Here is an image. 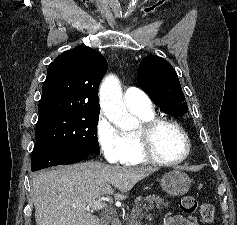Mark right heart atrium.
Returning a JSON list of instances; mask_svg holds the SVG:
<instances>
[{"instance_id":"1","label":"right heart atrium","mask_w":237,"mask_h":225,"mask_svg":"<svg viewBox=\"0 0 237 225\" xmlns=\"http://www.w3.org/2000/svg\"><path fill=\"white\" fill-rule=\"evenodd\" d=\"M95 133L100 149L108 162L119 164L126 160L130 146L125 135L104 114L98 117Z\"/></svg>"}]
</instances>
